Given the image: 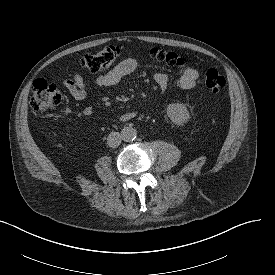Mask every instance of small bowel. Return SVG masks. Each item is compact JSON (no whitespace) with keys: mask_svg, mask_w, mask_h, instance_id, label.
<instances>
[{"mask_svg":"<svg viewBox=\"0 0 275 275\" xmlns=\"http://www.w3.org/2000/svg\"><path fill=\"white\" fill-rule=\"evenodd\" d=\"M137 68V61L134 58H126L121 61L112 70L97 76L92 87L95 90H102L105 88L117 85L122 79L133 73ZM199 78L197 69L188 67L185 68L176 81V86L180 89L193 88ZM154 81L158 88L164 92L169 87V77L163 71H156L154 73ZM63 85L69 92L71 97L77 101H83L87 98L90 85L80 74H74L72 77L65 78ZM136 115L135 111L127 112L122 115L123 119H130Z\"/></svg>","mask_w":275,"mask_h":275,"instance_id":"obj_1","label":"small bowel"}]
</instances>
